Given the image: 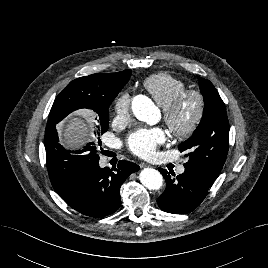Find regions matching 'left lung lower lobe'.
I'll list each match as a JSON object with an SVG mask.
<instances>
[{
    "label": "left lung lower lobe",
    "instance_id": "0a47b994",
    "mask_svg": "<svg viewBox=\"0 0 268 268\" xmlns=\"http://www.w3.org/2000/svg\"><path fill=\"white\" fill-rule=\"evenodd\" d=\"M158 170L166 181L165 191L157 198L158 205L163 211L174 214L189 213L198 207L215 181L190 167H185L184 173L177 176L162 168Z\"/></svg>",
    "mask_w": 268,
    "mask_h": 268
}]
</instances>
